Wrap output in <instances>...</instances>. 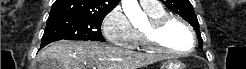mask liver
<instances>
[{
  "label": "liver",
  "instance_id": "6515ba94",
  "mask_svg": "<svg viewBox=\"0 0 246 69\" xmlns=\"http://www.w3.org/2000/svg\"><path fill=\"white\" fill-rule=\"evenodd\" d=\"M50 59L59 69H139L160 59L99 42L60 40L42 51L38 60Z\"/></svg>",
  "mask_w": 246,
  "mask_h": 69
}]
</instances>
